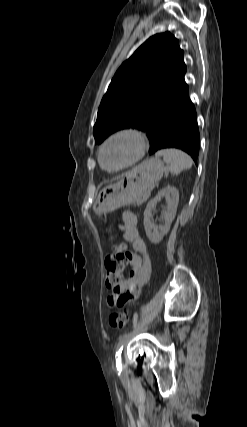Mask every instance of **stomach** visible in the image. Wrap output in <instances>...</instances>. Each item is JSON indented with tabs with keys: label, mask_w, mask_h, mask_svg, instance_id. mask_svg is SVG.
I'll return each mask as SVG.
<instances>
[{
	"label": "stomach",
	"mask_w": 247,
	"mask_h": 427,
	"mask_svg": "<svg viewBox=\"0 0 247 427\" xmlns=\"http://www.w3.org/2000/svg\"><path fill=\"white\" fill-rule=\"evenodd\" d=\"M164 173L159 157L146 159L139 166L124 173L117 183L102 189L93 204V212L100 216L120 207L137 203Z\"/></svg>",
	"instance_id": "0dacf381"
}]
</instances>
